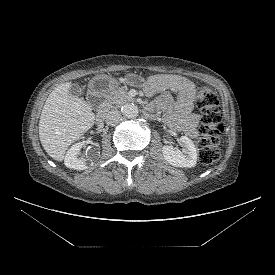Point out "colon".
<instances>
[{"label":"colon","mask_w":275,"mask_h":275,"mask_svg":"<svg viewBox=\"0 0 275 275\" xmlns=\"http://www.w3.org/2000/svg\"><path fill=\"white\" fill-rule=\"evenodd\" d=\"M196 107L201 112V138L197 142L199 159L204 164L217 161L220 157L221 136L223 132L222 114L215 93L202 86L195 97Z\"/></svg>","instance_id":"colon-1"}]
</instances>
